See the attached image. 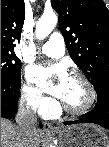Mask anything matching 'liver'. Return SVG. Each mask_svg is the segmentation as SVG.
<instances>
[{
  "mask_svg": "<svg viewBox=\"0 0 109 147\" xmlns=\"http://www.w3.org/2000/svg\"><path fill=\"white\" fill-rule=\"evenodd\" d=\"M41 138V132L36 129L33 136L34 147H38ZM1 147H22V134L18 126L4 118L1 119Z\"/></svg>",
  "mask_w": 109,
  "mask_h": 147,
  "instance_id": "liver-1",
  "label": "liver"
}]
</instances>
